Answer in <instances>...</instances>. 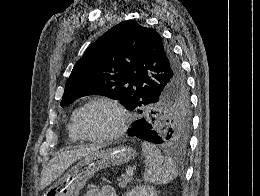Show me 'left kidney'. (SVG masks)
<instances>
[{
    "label": "left kidney",
    "instance_id": "1",
    "mask_svg": "<svg viewBox=\"0 0 260 196\" xmlns=\"http://www.w3.org/2000/svg\"><path fill=\"white\" fill-rule=\"evenodd\" d=\"M125 196H158V194L153 186H135L126 192Z\"/></svg>",
    "mask_w": 260,
    "mask_h": 196
}]
</instances>
